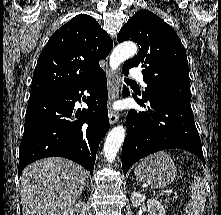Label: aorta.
Wrapping results in <instances>:
<instances>
[{
  "label": "aorta",
  "instance_id": "762f6f07",
  "mask_svg": "<svg viewBox=\"0 0 221 215\" xmlns=\"http://www.w3.org/2000/svg\"><path fill=\"white\" fill-rule=\"evenodd\" d=\"M137 53V46L133 42H125L118 44L110 55L109 65L112 71L117 68L125 60ZM126 130L123 126L114 127L107 135L104 143V156L111 163L115 160L116 155L124 141Z\"/></svg>",
  "mask_w": 221,
  "mask_h": 215
}]
</instances>
